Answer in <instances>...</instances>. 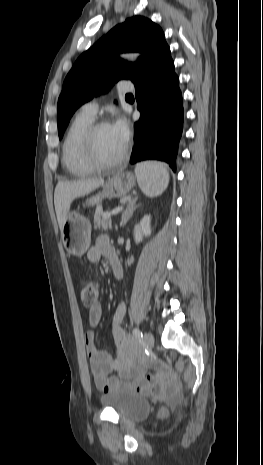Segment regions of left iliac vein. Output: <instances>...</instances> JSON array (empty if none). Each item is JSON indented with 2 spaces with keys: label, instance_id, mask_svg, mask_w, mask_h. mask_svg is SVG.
<instances>
[{
  "label": "left iliac vein",
  "instance_id": "left-iliac-vein-1",
  "mask_svg": "<svg viewBox=\"0 0 263 465\" xmlns=\"http://www.w3.org/2000/svg\"><path fill=\"white\" fill-rule=\"evenodd\" d=\"M144 343L148 349H151L154 345V336L150 332L144 333Z\"/></svg>",
  "mask_w": 263,
  "mask_h": 465
}]
</instances>
